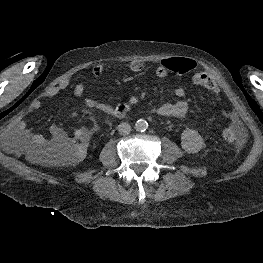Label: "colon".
I'll return each instance as SVG.
<instances>
[{
	"label": "colon",
	"mask_w": 263,
	"mask_h": 263,
	"mask_svg": "<svg viewBox=\"0 0 263 263\" xmlns=\"http://www.w3.org/2000/svg\"><path fill=\"white\" fill-rule=\"evenodd\" d=\"M167 67L175 74L185 75L193 68L192 62L185 58H172L167 62ZM193 83L197 86L204 87L212 91L218 100L222 99V92L214 79L207 73H197L193 76ZM231 110L226 111L230 116ZM225 141L236 148L244 145L246 135L243 128L239 125H231L225 128L223 133ZM85 138L83 136H72L65 144L59 146L50 153L55 159L65 161H75L79 159L85 151Z\"/></svg>",
	"instance_id": "5ec220e1"
}]
</instances>
